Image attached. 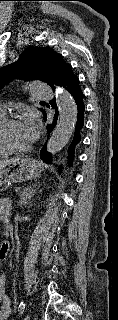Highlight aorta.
Here are the masks:
<instances>
[{"instance_id": "obj_1", "label": "aorta", "mask_w": 118, "mask_h": 320, "mask_svg": "<svg viewBox=\"0 0 118 320\" xmlns=\"http://www.w3.org/2000/svg\"><path fill=\"white\" fill-rule=\"evenodd\" d=\"M56 103L59 110V121L46 146L47 151L52 154L67 145L77 121V106L67 90L59 87L56 89Z\"/></svg>"}]
</instances>
